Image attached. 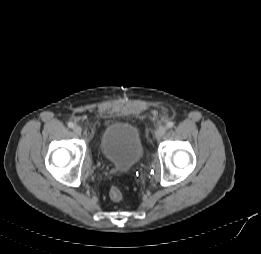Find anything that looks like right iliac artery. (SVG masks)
Instances as JSON below:
<instances>
[{
  "mask_svg": "<svg viewBox=\"0 0 261 254\" xmlns=\"http://www.w3.org/2000/svg\"><path fill=\"white\" fill-rule=\"evenodd\" d=\"M68 127L69 128H73L74 127V123L73 122H68Z\"/></svg>",
  "mask_w": 261,
  "mask_h": 254,
  "instance_id": "obj_1",
  "label": "right iliac artery"
}]
</instances>
